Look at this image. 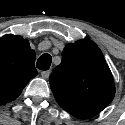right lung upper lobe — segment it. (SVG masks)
Masks as SVG:
<instances>
[{"label": "right lung upper lobe", "instance_id": "right-lung-upper-lobe-1", "mask_svg": "<svg viewBox=\"0 0 125 125\" xmlns=\"http://www.w3.org/2000/svg\"><path fill=\"white\" fill-rule=\"evenodd\" d=\"M29 42L12 34L0 38V105L16 99L38 72Z\"/></svg>", "mask_w": 125, "mask_h": 125}]
</instances>
